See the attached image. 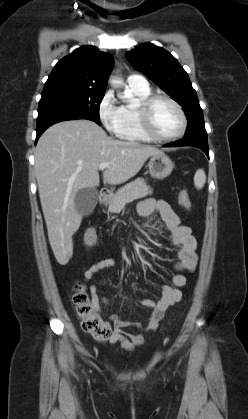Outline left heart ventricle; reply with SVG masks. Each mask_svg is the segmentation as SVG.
Masks as SVG:
<instances>
[{"label": "left heart ventricle", "mask_w": 248, "mask_h": 419, "mask_svg": "<svg viewBox=\"0 0 248 419\" xmlns=\"http://www.w3.org/2000/svg\"><path fill=\"white\" fill-rule=\"evenodd\" d=\"M150 119L154 132L163 137L174 135L181 126L179 113L165 100L154 103L150 111Z\"/></svg>", "instance_id": "1"}]
</instances>
